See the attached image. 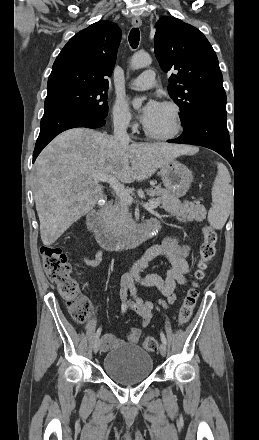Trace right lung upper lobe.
Segmentation results:
<instances>
[{"mask_svg": "<svg viewBox=\"0 0 259 440\" xmlns=\"http://www.w3.org/2000/svg\"><path fill=\"white\" fill-rule=\"evenodd\" d=\"M121 30L102 20L75 34L57 56L48 79L47 94L70 88L108 89Z\"/></svg>", "mask_w": 259, "mask_h": 440, "instance_id": "right-lung-upper-lobe-1", "label": "right lung upper lobe"}]
</instances>
